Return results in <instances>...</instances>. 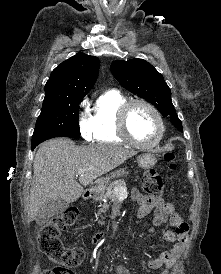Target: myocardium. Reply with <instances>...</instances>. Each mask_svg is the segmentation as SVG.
I'll use <instances>...</instances> for the list:
<instances>
[{
  "mask_svg": "<svg viewBox=\"0 0 221 274\" xmlns=\"http://www.w3.org/2000/svg\"><path fill=\"white\" fill-rule=\"evenodd\" d=\"M135 105H142V106L148 108L153 113V115L155 116V118L158 122L159 132H158L156 139L152 143L146 144V143L137 141L136 139L133 138V136L131 135V133L129 131L128 116H129L131 109ZM117 125H118V131H119V134L121 135V137L127 143H129L137 148H141V149H151V148H154L155 146H157L161 142V140L164 136V132H165L164 121H163V118H162L159 110L152 103H150L146 100H143V99H132V100H128L127 102H125L119 109Z\"/></svg>",
  "mask_w": 221,
  "mask_h": 274,
  "instance_id": "myocardium-1",
  "label": "myocardium"
}]
</instances>
